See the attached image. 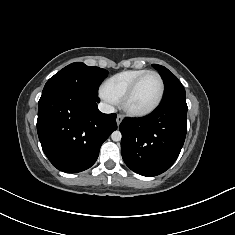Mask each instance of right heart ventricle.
Segmentation results:
<instances>
[{"label": "right heart ventricle", "instance_id": "1", "mask_svg": "<svg viewBox=\"0 0 235 235\" xmlns=\"http://www.w3.org/2000/svg\"><path fill=\"white\" fill-rule=\"evenodd\" d=\"M146 69H131L119 72L109 77L103 84L102 88L113 96L116 101H120L131 85V83L141 74L146 72Z\"/></svg>", "mask_w": 235, "mask_h": 235}]
</instances>
